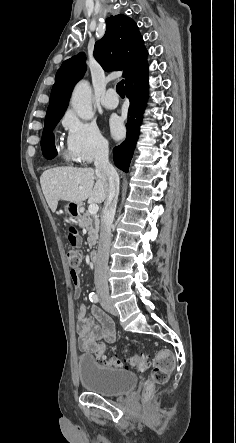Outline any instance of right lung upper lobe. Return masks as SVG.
<instances>
[{"label":"right lung upper lobe","instance_id":"1","mask_svg":"<svg viewBox=\"0 0 236 443\" xmlns=\"http://www.w3.org/2000/svg\"><path fill=\"white\" fill-rule=\"evenodd\" d=\"M104 37L94 46V57L106 71L123 70L125 81L146 67L148 55L137 24L129 17L119 14L106 20ZM85 55L80 53L64 61L56 73L45 120L63 114L70 93L86 70Z\"/></svg>","mask_w":236,"mask_h":443}]
</instances>
